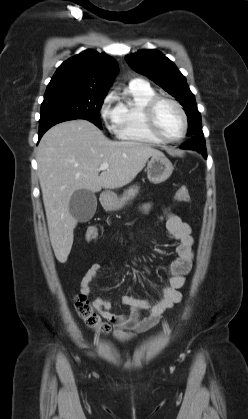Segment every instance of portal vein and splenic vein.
<instances>
[{
    "label": "portal vein and splenic vein",
    "instance_id": "portal-vein-and-splenic-vein-1",
    "mask_svg": "<svg viewBox=\"0 0 248 419\" xmlns=\"http://www.w3.org/2000/svg\"><path fill=\"white\" fill-rule=\"evenodd\" d=\"M108 167H109L108 163H102L99 167V170H106V169H108Z\"/></svg>",
    "mask_w": 248,
    "mask_h": 419
}]
</instances>
